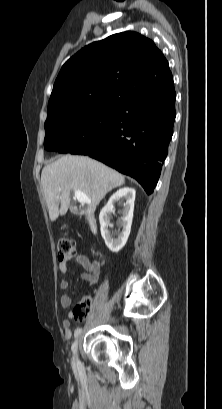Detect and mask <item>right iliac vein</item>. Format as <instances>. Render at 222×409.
Segmentation results:
<instances>
[{"mask_svg":"<svg viewBox=\"0 0 222 409\" xmlns=\"http://www.w3.org/2000/svg\"><path fill=\"white\" fill-rule=\"evenodd\" d=\"M72 351H73V353H74V356L77 357L78 340H76V341L74 342L73 347H72Z\"/></svg>","mask_w":222,"mask_h":409,"instance_id":"1","label":"right iliac vein"}]
</instances>
